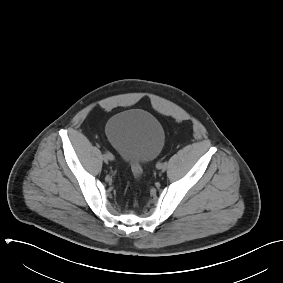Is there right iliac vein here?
<instances>
[{
	"mask_svg": "<svg viewBox=\"0 0 283 283\" xmlns=\"http://www.w3.org/2000/svg\"><path fill=\"white\" fill-rule=\"evenodd\" d=\"M103 160H104L105 163H108L110 160H112V156L104 154L103 155Z\"/></svg>",
	"mask_w": 283,
	"mask_h": 283,
	"instance_id": "1",
	"label": "right iliac vein"
}]
</instances>
